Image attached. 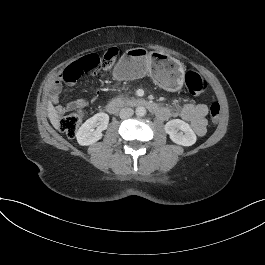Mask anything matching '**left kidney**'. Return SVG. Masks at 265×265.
Listing matches in <instances>:
<instances>
[{"instance_id": "left-kidney-1", "label": "left kidney", "mask_w": 265, "mask_h": 265, "mask_svg": "<svg viewBox=\"0 0 265 265\" xmlns=\"http://www.w3.org/2000/svg\"><path fill=\"white\" fill-rule=\"evenodd\" d=\"M165 132L169 134L170 139L182 146H191L196 142V135L191 129L188 123L180 120L174 119L166 123ZM179 130L181 132H179Z\"/></svg>"}]
</instances>
